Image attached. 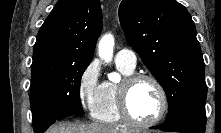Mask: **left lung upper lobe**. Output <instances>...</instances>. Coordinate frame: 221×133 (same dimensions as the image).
Wrapping results in <instances>:
<instances>
[{
    "mask_svg": "<svg viewBox=\"0 0 221 133\" xmlns=\"http://www.w3.org/2000/svg\"><path fill=\"white\" fill-rule=\"evenodd\" d=\"M119 19L129 45L164 88L166 120L205 101L204 60L193 20L175 0H122Z\"/></svg>",
    "mask_w": 221,
    "mask_h": 133,
    "instance_id": "5c2ea615",
    "label": "left lung upper lobe"
}]
</instances>
